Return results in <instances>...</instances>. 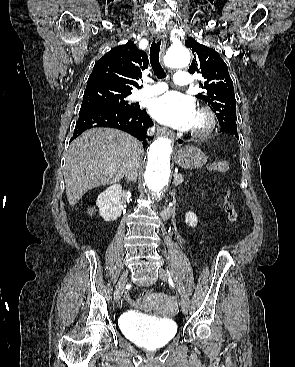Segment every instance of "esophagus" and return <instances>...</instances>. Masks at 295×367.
<instances>
[{
    "mask_svg": "<svg viewBox=\"0 0 295 367\" xmlns=\"http://www.w3.org/2000/svg\"><path fill=\"white\" fill-rule=\"evenodd\" d=\"M166 30H161L158 35H157V41L161 40V57L164 56V51H165V47H166ZM160 134L161 135H167V136H171L172 133L170 131H168L167 129L165 128H161L159 130Z\"/></svg>",
    "mask_w": 295,
    "mask_h": 367,
    "instance_id": "1",
    "label": "esophagus"
}]
</instances>
